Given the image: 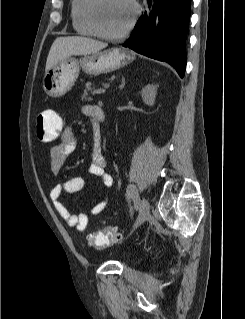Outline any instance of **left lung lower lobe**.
<instances>
[{
    "label": "left lung lower lobe",
    "mask_w": 245,
    "mask_h": 319,
    "mask_svg": "<svg viewBox=\"0 0 245 319\" xmlns=\"http://www.w3.org/2000/svg\"><path fill=\"white\" fill-rule=\"evenodd\" d=\"M149 10L123 44L150 58L172 65L180 77L186 67V35L191 0H148Z\"/></svg>",
    "instance_id": "obj_1"
}]
</instances>
